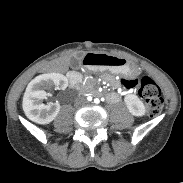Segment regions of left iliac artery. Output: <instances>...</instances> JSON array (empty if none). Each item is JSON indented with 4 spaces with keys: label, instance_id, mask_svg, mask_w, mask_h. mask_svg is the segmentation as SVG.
<instances>
[{
    "label": "left iliac artery",
    "instance_id": "44dca946",
    "mask_svg": "<svg viewBox=\"0 0 183 183\" xmlns=\"http://www.w3.org/2000/svg\"><path fill=\"white\" fill-rule=\"evenodd\" d=\"M94 102H95L96 104H98V103L100 102V100H99L98 98H96V99H94Z\"/></svg>",
    "mask_w": 183,
    "mask_h": 183
}]
</instances>
